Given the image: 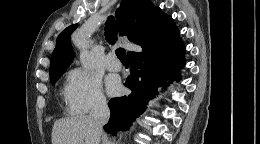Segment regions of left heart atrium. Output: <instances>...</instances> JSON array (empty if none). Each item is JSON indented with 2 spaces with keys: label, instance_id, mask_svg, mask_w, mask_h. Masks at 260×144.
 <instances>
[{
  "label": "left heart atrium",
  "instance_id": "obj_1",
  "mask_svg": "<svg viewBox=\"0 0 260 144\" xmlns=\"http://www.w3.org/2000/svg\"><path fill=\"white\" fill-rule=\"evenodd\" d=\"M107 88L110 94H116L120 90L119 80L114 76L107 78Z\"/></svg>",
  "mask_w": 260,
  "mask_h": 144
}]
</instances>
